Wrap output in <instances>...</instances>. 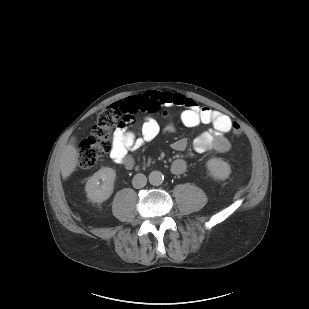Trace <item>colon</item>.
<instances>
[{
	"label": "colon",
	"mask_w": 309,
	"mask_h": 309,
	"mask_svg": "<svg viewBox=\"0 0 309 309\" xmlns=\"http://www.w3.org/2000/svg\"><path fill=\"white\" fill-rule=\"evenodd\" d=\"M134 124V118L123 102H117L102 110L92 127L91 134L83 139L78 149L77 166L80 169L94 167L100 159L112 148L111 133L117 129H124ZM235 135H242L243 131L234 122Z\"/></svg>",
	"instance_id": "1"
}]
</instances>
